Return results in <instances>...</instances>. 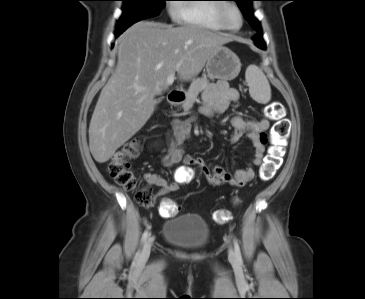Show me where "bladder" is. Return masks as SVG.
Masks as SVG:
<instances>
[{
	"mask_svg": "<svg viewBox=\"0 0 365 299\" xmlns=\"http://www.w3.org/2000/svg\"><path fill=\"white\" fill-rule=\"evenodd\" d=\"M163 240L180 250L197 251L208 244L210 229L201 216L186 213L165 222Z\"/></svg>",
	"mask_w": 365,
	"mask_h": 299,
	"instance_id": "31cf9c89",
	"label": "bladder"
}]
</instances>
